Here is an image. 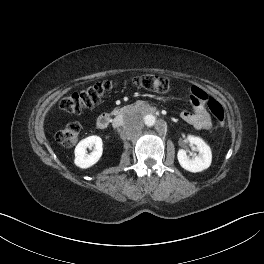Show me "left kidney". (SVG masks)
Segmentation results:
<instances>
[{
	"mask_svg": "<svg viewBox=\"0 0 264 264\" xmlns=\"http://www.w3.org/2000/svg\"><path fill=\"white\" fill-rule=\"evenodd\" d=\"M188 140L190 144L197 147L198 155L193 159L187 156L184 149H180L177 153L179 164L182 168L190 172H200L207 169L211 165L212 152L208 144L200 137L189 136Z\"/></svg>",
	"mask_w": 264,
	"mask_h": 264,
	"instance_id": "5707ae66",
	"label": "left kidney"
}]
</instances>
